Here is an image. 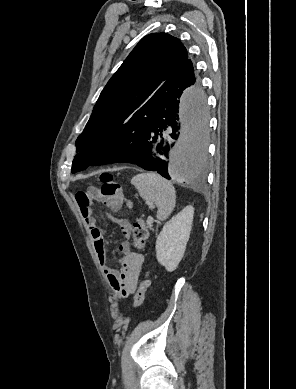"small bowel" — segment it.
Returning <instances> with one entry per match:
<instances>
[{"label": "small bowel", "mask_w": 296, "mask_h": 389, "mask_svg": "<svg viewBox=\"0 0 296 389\" xmlns=\"http://www.w3.org/2000/svg\"><path fill=\"white\" fill-rule=\"evenodd\" d=\"M98 200L100 198L95 190L80 192L76 195L81 216L89 228L95 251L107 281L115 294L119 298L124 299L133 294L137 288L139 278L144 269V257L142 254L131 250L128 241L131 235V224L129 221L109 215V219L119 225L120 231L125 238L119 245L121 269L116 270L110 266L106 253L105 230L97 224L93 216L92 203ZM120 205L118 204L116 207L110 208L116 211L120 208Z\"/></svg>", "instance_id": "small-bowel-1"}]
</instances>
